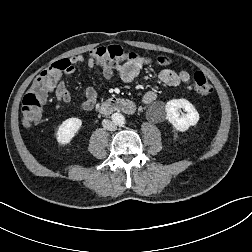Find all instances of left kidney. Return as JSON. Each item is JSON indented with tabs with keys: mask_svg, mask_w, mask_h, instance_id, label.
I'll list each match as a JSON object with an SVG mask.
<instances>
[{
	"mask_svg": "<svg viewBox=\"0 0 252 252\" xmlns=\"http://www.w3.org/2000/svg\"><path fill=\"white\" fill-rule=\"evenodd\" d=\"M183 109L186 114L180 115L179 110ZM167 120L172 126L181 132L197 124L199 114L195 107L186 99H173L166 103Z\"/></svg>",
	"mask_w": 252,
	"mask_h": 252,
	"instance_id": "left-kidney-1",
	"label": "left kidney"
}]
</instances>
